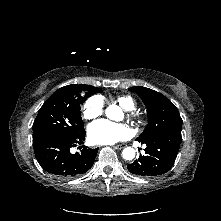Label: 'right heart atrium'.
I'll list each match as a JSON object with an SVG mask.
<instances>
[{
	"mask_svg": "<svg viewBox=\"0 0 221 221\" xmlns=\"http://www.w3.org/2000/svg\"><path fill=\"white\" fill-rule=\"evenodd\" d=\"M104 109V101L102 97L95 95L88 98L82 106V116L85 120H93L98 118Z\"/></svg>",
	"mask_w": 221,
	"mask_h": 221,
	"instance_id": "obj_1",
	"label": "right heart atrium"
}]
</instances>
